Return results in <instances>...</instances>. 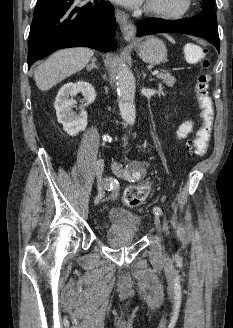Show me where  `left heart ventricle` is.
Masks as SVG:
<instances>
[{"label": "left heart ventricle", "mask_w": 233, "mask_h": 328, "mask_svg": "<svg viewBox=\"0 0 233 328\" xmlns=\"http://www.w3.org/2000/svg\"><path fill=\"white\" fill-rule=\"evenodd\" d=\"M148 3L156 8L174 10L180 6L181 0H149Z\"/></svg>", "instance_id": "b2bd125f"}]
</instances>
